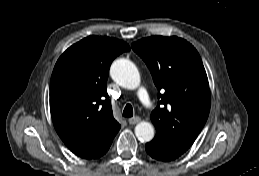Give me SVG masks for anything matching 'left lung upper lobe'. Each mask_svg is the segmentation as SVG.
<instances>
[{"label": "left lung upper lobe", "mask_w": 259, "mask_h": 176, "mask_svg": "<svg viewBox=\"0 0 259 176\" xmlns=\"http://www.w3.org/2000/svg\"><path fill=\"white\" fill-rule=\"evenodd\" d=\"M132 49L145 61L159 91L151 113L154 146L182 155L202 130L210 110L207 75L197 50L179 37L141 39Z\"/></svg>", "instance_id": "5c2ea615"}]
</instances>
